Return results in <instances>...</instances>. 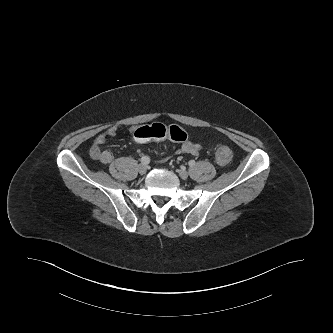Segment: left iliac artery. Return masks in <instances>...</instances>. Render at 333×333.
<instances>
[{
	"label": "left iliac artery",
	"instance_id": "obj_1",
	"mask_svg": "<svg viewBox=\"0 0 333 333\" xmlns=\"http://www.w3.org/2000/svg\"><path fill=\"white\" fill-rule=\"evenodd\" d=\"M188 164H189V166H194L195 165V161L194 160H190Z\"/></svg>",
	"mask_w": 333,
	"mask_h": 333
}]
</instances>
